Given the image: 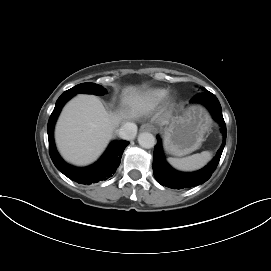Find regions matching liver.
I'll list each match as a JSON object with an SVG mask.
<instances>
[{"label":"liver","mask_w":271,"mask_h":271,"mask_svg":"<svg viewBox=\"0 0 271 271\" xmlns=\"http://www.w3.org/2000/svg\"><path fill=\"white\" fill-rule=\"evenodd\" d=\"M135 90L125 89V101ZM124 118L130 116L123 111L109 113L94 95H77L65 105L56 124L55 140L61 155L78 166L91 164L102 154Z\"/></svg>","instance_id":"obj_1"}]
</instances>
